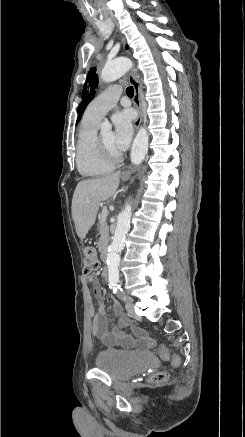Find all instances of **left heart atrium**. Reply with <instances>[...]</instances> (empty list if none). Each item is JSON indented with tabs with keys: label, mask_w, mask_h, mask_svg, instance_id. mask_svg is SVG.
<instances>
[{
	"label": "left heart atrium",
	"mask_w": 245,
	"mask_h": 437,
	"mask_svg": "<svg viewBox=\"0 0 245 437\" xmlns=\"http://www.w3.org/2000/svg\"><path fill=\"white\" fill-rule=\"evenodd\" d=\"M133 115L128 110L116 112L112 117L114 126L113 139L116 151H125L131 141L133 134Z\"/></svg>",
	"instance_id": "39dd6f15"
}]
</instances>
